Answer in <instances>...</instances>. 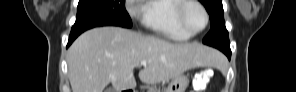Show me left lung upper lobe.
Wrapping results in <instances>:
<instances>
[{
    "instance_id": "1",
    "label": "left lung upper lobe",
    "mask_w": 296,
    "mask_h": 92,
    "mask_svg": "<svg viewBox=\"0 0 296 92\" xmlns=\"http://www.w3.org/2000/svg\"><path fill=\"white\" fill-rule=\"evenodd\" d=\"M210 15L209 33L203 39V43L218 49H230L228 31L224 22V11L221 0H199Z\"/></svg>"
}]
</instances>
